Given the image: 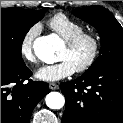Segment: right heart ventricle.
Here are the masks:
<instances>
[{
  "mask_svg": "<svg viewBox=\"0 0 123 123\" xmlns=\"http://www.w3.org/2000/svg\"><path fill=\"white\" fill-rule=\"evenodd\" d=\"M48 27L62 39L67 40L73 35L84 31V26L64 13H57L47 21Z\"/></svg>",
  "mask_w": 123,
  "mask_h": 123,
  "instance_id": "right-heart-ventricle-1",
  "label": "right heart ventricle"
}]
</instances>
